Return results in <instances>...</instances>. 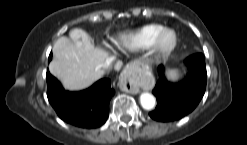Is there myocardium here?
I'll use <instances>...</instances> for the list:
<instances>
[{"label":"myocardium","mask_w":247,"mask_h":145,"mask_svg":"<svg viewBox=\"0 0 247 145\" xmlns=\"http://www.w3.org/2000/svg\"><path fill=\"white\" fill-rule=\"evenodd\" d=\"M170 34L172 39L167 45L163 44V38ZM178 34L175 29L170 27H163L153 38L149 48L151 54L155 58H165L169 56L177 47L178 44Z\"/></svg>","instance_id":"1"}]
</instances>
